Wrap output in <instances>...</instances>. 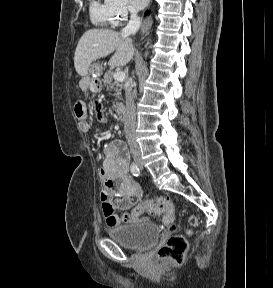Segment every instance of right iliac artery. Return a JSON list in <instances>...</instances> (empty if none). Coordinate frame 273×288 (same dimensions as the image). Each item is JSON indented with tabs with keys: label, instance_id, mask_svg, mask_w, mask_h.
<instances>
[{
	"label": "right iliac artery",
	"instance_id": "1",
	"mask_svg": "<svg viewBox=\"0 0 273 288\" xmlns=\"http://www.w3.org/2000/svg\"><path fill=\"white\" fill-rule=\"evenodd\" d=\"M130 170H131V173H132L134 176H139V174H140V169H139V167H138L137 164L132 163V164H131V167H130Z\"/></svg>",
	"mask_w": 273,
	"mask_h": 288
}]
</instances>
